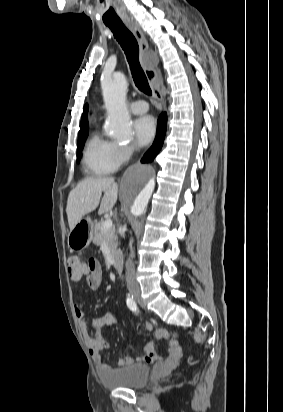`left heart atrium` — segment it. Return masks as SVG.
<instances>
[{"mask_svg": "<svg viewBox=\"0 0 283 412\" xmlns=\"http://www.w3.org/2000/svg\"><path fill=\"white\" fill-rule=\"evenodd\" d=\"M156 130V121L151 116H143L134 123L136 140L140 145L149 144L153 140Z\"/></svg>", "mask_w": 283, "mask_h": 412, "instance_id": "39dd6f15", "label": "left heart atrium"}]
</instances>
